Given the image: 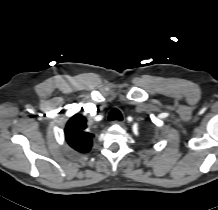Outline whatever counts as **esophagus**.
Masks as SVG:
<instances>
[{
	"mask_svg": "<svg viewBox=\"0 0 218 210\" xmlns=\"http://www.w3.org/2000/svg\"><path fill=\"white\" fill-rule=\"evenodd\" d=\"M114 124H117L119 126H124V122L123 121H120V120H116L113 122Z\"/></svg>",
	"mask_w": 218,
	"mask_h": 210,
	"instance_id": "34e87169",
	"label": "esophagus"
}]
</instances>
